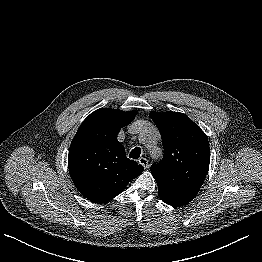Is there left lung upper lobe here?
Instances as JSON below:
<instances>
[{
    "label": "left lung upper lobe",
    "instance_id": "obj_1",
    "mask_svg": "<svg viewBox=\"0 0 262 262\" xmlns=\"http://www.w3.org/2000/svg\"><path fill=\"white\" fill-rule=\"evenodd\" d=\"M162 137L163 159L151 166L161 200L178 207L189 203L200 190L208 170V138L187 115L151 112Z\"/></svg>",
    "mask_w": 262,
    "mask_h": 262
}]
</instances>
